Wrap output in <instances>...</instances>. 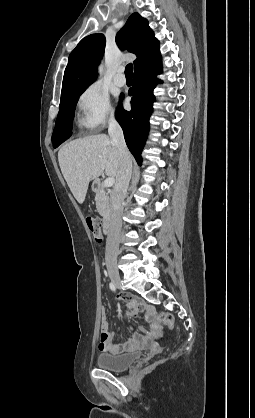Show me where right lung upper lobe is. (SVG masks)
Segmentation results:
<instances>
[{"mask_svg":"<svg viewBox=\"0 0 255 418\" xmlns=\"http://www.w3.org/2000/svg\"><path fill=\"white\" fill-rule=\"evenodd\" d=\"M116 43L122 50L134 53V72L141 70L161 58L159 41L138 13H133L116 36ZM105 37L91 34L83 38L71 52L64 72L62 93L87 88L97 77V66L103 57Z\"/></svg>","mask_w":255,"mask_h":418,"instance_id":"1","label":"right lung upper lobe"}]
</instances>
